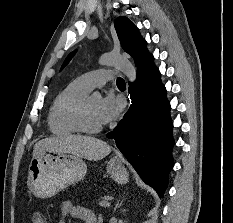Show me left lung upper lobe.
I'll return each mask as SVG.
<instances>
[{"label":"left lung upper lobe","mask_w":233,"mask_h":223,"mask_svg":"<svg viewBox=\"0 0 233 223\" xmlns=\"http://www.w3.org/2000/svg\"><path fill=\"white\" fill-rule=\"evenodd\" d=\"M114 25L123 49L136 61L142 51L146 48V42L140 36L137 27L126 17L117 18ZM75 53L76 51L68 55L61 70L68 64Z\"/></svg>","instance_id":"obj_1"}]
</instances>
